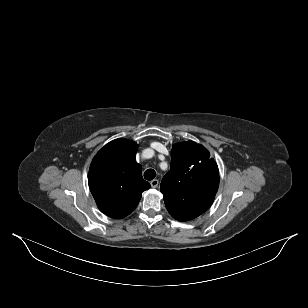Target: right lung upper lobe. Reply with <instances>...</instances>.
I'll return each instance as SVG.
<instances>
[{"label": "right lung upper lobe", "mask_w": 308, "mask_h": 308, "mask_svg": "<svg viewBox=\"0 0 308 308\" xmlns=\"http://www.w3.org/2000/svg\"><path fill=\"white\" fill-rule=\"evenodd\" d=\"M136 151L135 142L116 139L106 144L91 163L89 188L99 209L109 217L121 219L129 215L142 192L150 188L135 160Z\"/></svg>", "instance_id": "right-lung-upper-lobe-1"}]
</instances>
